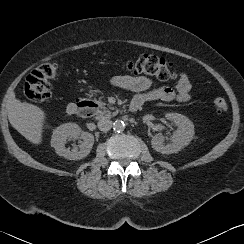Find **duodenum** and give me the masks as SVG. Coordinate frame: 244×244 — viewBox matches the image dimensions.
Here are the masks:
<instances>
[{
    "mask_svg": "<svg viewBox=\"0 0 244 244\" xmlns=\"http://www.w3.org/2000/svg\"><path fill=\"white\" fill-rule=\"evenodd\" d=\"M68 111L73 114H79L82 116H90L95 110V104L88 100H76L68 105ZM130 109L136 111L135 105L130 104Z\"/></svg>",
    "mask_w": 244,
    "mask_h": 244,
    "instance_id": "410a0bca",
    "label": "duodenum"
}]
</instances>
